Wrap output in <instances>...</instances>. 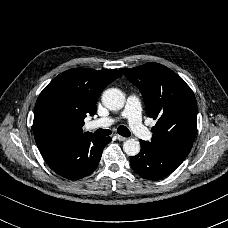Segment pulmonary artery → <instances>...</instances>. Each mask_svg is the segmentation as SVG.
<instances>
[{
  "label": "pulmonary artery",
  "mask_w": 228,
  "mask_h": 228,
  "mask_svg": "<svg viewBox=\"0 0 228 228\" xmlns=\"http://www.w3.org/2000/svg\"><path fill=\"white\" fill-rule=\"evenodd\" d=\"M127 109L130 111V124L134 129L139 140H146L148 138V131L141 118V107L136 100H129L127 102ZM125 116V113H123ZM116 120L111 117L100 118L87 122L86 128L88 130L95 128H106L112 125Z\"/></svg>",
  "instance_id": "e3ab8cb5"
}]
</instances>
